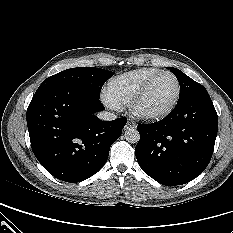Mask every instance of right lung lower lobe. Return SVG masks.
Here are the masks:
<instances>
[{
  "mask_svg": "<svg viewBox=\"0 0 233 233\" xmlns=\"http://www.w3.org/2000/svg\"><path fill=\"white\" fill-rule=\"evenodd\" d=\"M101 110L98 96L69 85L32 98L26 115L32 151L54 177L80 182L104 166L127 120L101 121L95 116Z\"/></svg>",
  "mask_w": 233,
  "mask_h": 233,
  "instance_id": "98d812e1",
  "label": "right lung lower lobe"
}]
</instances>
